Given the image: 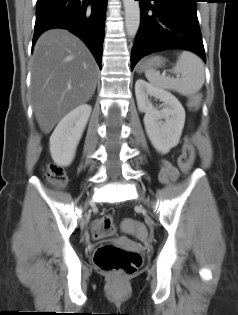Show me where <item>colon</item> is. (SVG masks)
Returning a JSON list of instances; mask_svg holds the SVG:
<instances>
[{"instance_id": "obj_1", "label": "colon", "mask_w": 238, "mask_h": 315, "mask_svg": "<svg viewBox=\"0 0 238 315\" xmlns=\"http://www.w3.org/2000/svg\"><path fill=\"white\" fill-rule=\"evenodd\" d=\"M198 102L197 98L191 100L192 106ZM195 159V148L191 142H187L178 158V166L183 172H188ZM47 179L57 187H64L67 183V175L64 169L56 164H49L45 168ZM123 229L127 233L138 238L146 236V229L140 222L125 220ZM115 232L114 220L111 216H105L96 220L92 225V234L96 239H104ZM94 263L99 270L110 274L116 279H122L134 274L142 264L139 253L128 251L111 244H103L94 254Z\"/></svg>"}]
</instances>
